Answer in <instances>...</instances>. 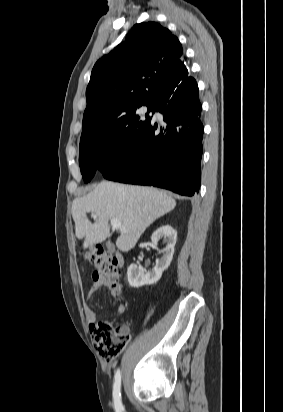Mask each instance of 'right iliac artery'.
Listing matches in <instances>:
<instances>
[{
	"label": "right iliac artery",
	"instance_id": "82829eb1",
	"mask_svg": "<svg viewBox=\"0 0 283 412\" xmlns=\"http://www.w3.org/2000/svg\"><path fill=\"white\" fill-rule=\"evenodd\" d=\"M120 389H121V372L118 369L115 373V381L113 385V400H114V406L117 412H121L123 410Z\"/></svg>",
	"mask_w": 283,
	"mask_h": 412
}]
</instances>
